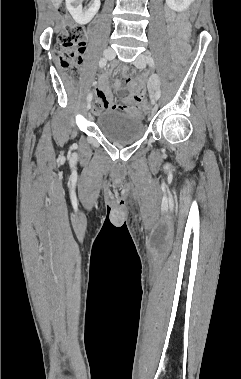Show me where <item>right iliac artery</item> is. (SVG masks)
<instances>
[{
    "mask_svg": "<svg viewBox=\"0 0 241 379\" xmlns=\"http://www.w3.org/2000/svg\"><path fill=\"white\" fill-rule=\"evenodd\" d=\"M107 63V60L105 58H101L100 61H99V67L100 68H103ZM92 99V93H89L88 96H87V101H91Z\"/></svg>",
    "mask_w": 241,
    "mask_h": 379,
    "instance_id": "82829eb1",
    "label": "right iliac artery"
}]
</instances>
